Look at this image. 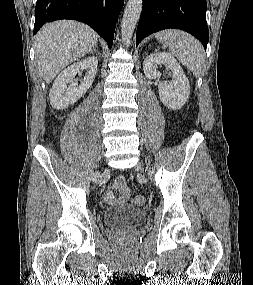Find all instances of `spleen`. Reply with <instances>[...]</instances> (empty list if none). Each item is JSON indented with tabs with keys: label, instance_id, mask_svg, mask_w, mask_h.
<instances>
[{
	"label": "spleen",
	"instance_id": "spleen-1",
	"mask_svg": "<svg viewBox=\"0 0 253 285\" xmlns=\"http://www.w3.org/2000/svg\"><path fill=\"white\" fill-rule=\"evenodd\" d=\"M155 38L169 48L177 59L198 77L205 63L201 43L193 36L180 30H164L156 33Z\"/></svg>",
	"mask_w": 253,
	"mask_h": 285
}]
</instances>
